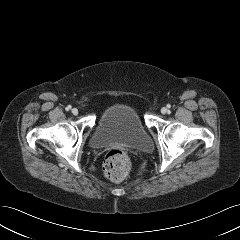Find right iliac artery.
Instances as JSON below:
<instances>
[{
  "label": "right iliac artery",
  "mask_w": 240,
  "mask_h": 240,
  "mask_svg": "<svg viewBox=\"0 0 240 240\" xmlns=\"http://www.w3.org/2000/svg\"><path fill=\"white\" fill-rule=\"evenodd\" d=\"M71 108H72L71 105H68V106L66 107V110L69 111Z\"/></svg>",
  "instance_id": "right-iliac-artery-1"
}]
</instances>
